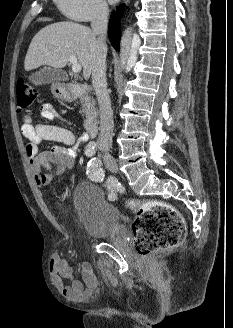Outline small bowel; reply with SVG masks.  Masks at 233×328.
Returning a JSON list of instances; mask_svg holds the SVG:
<instances>
[{"mask_svg": "<svg viewBox=\"0 0 233 328\" xmlns=\"http://www.w3.org/2000/svg\"><path fill=\"white\" fill-rule=\"evenodd\" d=\"M41 117L52 121L58 118L53 106L44 103L40 107ZM21 133L25 138V152L30 159L36 184L48 186L52 180L73 165L76 156L75 136L69 129L46 123L33 124L30 116H26L21 124ZM90 136L83 134L81 142H87ZM42 141H53L60 145L51 151L39 153L38 144ZM44 169V172H41ZM50 270L55 287L69 300L81 301L90 297L97 286V279L89 263L81 266V280L73 275L67 260L58 253L50 259ZM65 279L70 282L66 284Z\"/></svg>", "mask_w": 233, "mask_h": 328, "instance_id": "small-bowel-1", "label": "small bowel"}]
</instances>
